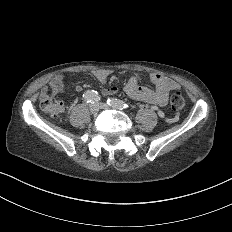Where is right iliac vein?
Instances as JSON below:
<instances>
[{
  "label": "right iliac vein",
  "mask_w": 232,
  "mask_h": 232,
  "mask_svg": "<svg viewBox=\"0 0 232 232\" xmlns=\"http://www.w3.org/2000/svg\"><path fill=\"white\" fill-rule=\"evenodd\" d=\"M100 110V107L98 104L96 103H93V104H90L89 105V111L92 113V114H97Z\"/></svg>",
  "instance_id": "obj_1"
}]
</instances>
